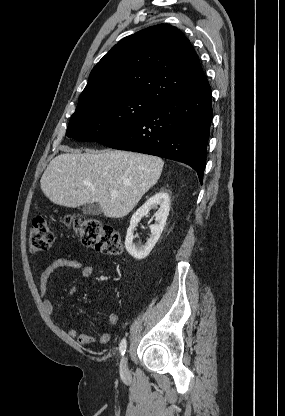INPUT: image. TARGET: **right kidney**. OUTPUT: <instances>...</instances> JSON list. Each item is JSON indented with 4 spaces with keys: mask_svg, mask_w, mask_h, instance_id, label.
<instances>
[{
    "mask_svg": "<svg viewBox=\"0 0 285 416\" xmlns=\"http://www.w3.org/2000/svg\"><path fill=\"white\" fill-rule=\"evenodd\" d=\"M170 198L167 192H159V194H155L152 198H149L135 214H133L130 220V226L127 230L126 238H125V248L135 260H144L148 254H150L151 250H153L156 242H158L166 224V220L168 218L170 206H169ZM159 206V208H158ZM152 208H157L158 212L155 214L156 224H152L149 226L151 230V236L148 238L145 246H133L132 240L134 238L133 232L140 222L143 216H147L149 210Z\"/></svg>",
    "mask_w": 285,
    "mask_h": 416,
    "instance_id": "1",
    "label": "right kidney"
}]
</instances>
